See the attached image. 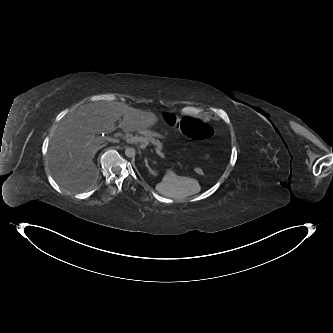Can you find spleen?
<instances>
[{"mask_svg": "<svg viewBox=\"0 0 333 333\" xmlns=\"http://www.w3.org/2000/svg\"><path fill=\"white\" fill-rule=\"evenodd\" d=\"M155 188L161 195L174 199H182L197 194L201 190L196 179L181 177L171 171L166 172Z\"/></svg>", "mask_w": 333, "mask_h": 333, "instance_id": "1", "label": "spleen"}]
</instances>
